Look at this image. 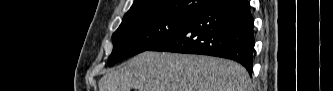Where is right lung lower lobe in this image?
<instances>
[{"instance_id": "obj_1", "label": "right lung lower lobe", "mask_w": 333, "mask_h": 91, "mask_svg": "<svg viewBox=\"0 0 333 91\" xmlns=\"http://www.w3.org/2000/svg\"><path fill=\"white\" fill-rule=\"evenodd\" d=\"M253 27L247 0H216L149 51L228 58L242 64L251 74Z\"/></svg>"}]
</instances>
